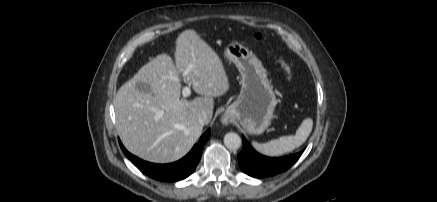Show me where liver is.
<instances>
[{"label": "liver", "instance_id": "6515ba94", "mask_svg": "<svg viewBox=\"0 0 437 202\" xmlns=\"http://www.w3.org/2000/svg\"><path fill=\"white\" fill-rule=\"evenodd\" d=\"M174 59L175 65L167 54L156 56L119 88L114 99L116 128L124 146L153 163L185 156L203 130L198 116L204 112L210 121L213 97L229 89L220 57L195 30L178 36ZM186 69L189 72L184 75ZM182 79L202 97L181 98ZM138 82L149 84L151 92L138 91Z\"/></svg>", "mask_w": 437, "mask_h": 202}]
</instances>
